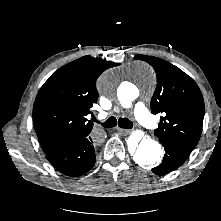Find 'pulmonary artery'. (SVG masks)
<instances>
[{"label": "pulmonary artery", "mask_w": 221, "mask_h": 221, "mask_svg": "<svg viewBox=\"0 0 221 221\" xmlns=\"http://www.w3.org/2000/svg\"><path fill=\"white\" fill-rule=\"evenodd\" d=\"M133 112L138 121L148 129H156L158 122L156 119L146 110L142 103H136L133 106Z\"/></svg>", "instance_id": "obj_1"}]
</instances>
